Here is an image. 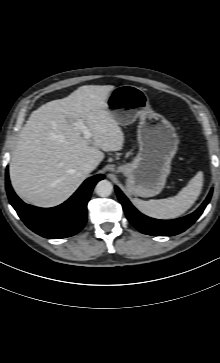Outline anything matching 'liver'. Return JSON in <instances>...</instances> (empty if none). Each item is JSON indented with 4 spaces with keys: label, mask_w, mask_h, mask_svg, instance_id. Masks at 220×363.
Segmentation results:
<instances>
[{
    "label": "liver",
    "mask_w": 220,
    "mask_h": 363,
    "mask_svg": "<svg viewBox=\"0 0 220 363\" xmlns=\"http://www.w3.org/2000/svg\"><path fill=\"white\" fill-rule=\"evenodd\" d=\"M114 88L81 86L31 113L9 165L11 184L20 198L39 207L57 206L86 179L84 163L97 167L104 159L102 151L122 149L124 134L106 105ZM78 119L92 132L89 139L76 127Z\"/></svg>",
    "instance_id": "liver-1"
}]
</instances>
